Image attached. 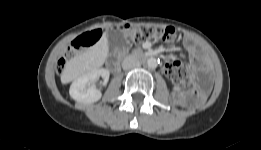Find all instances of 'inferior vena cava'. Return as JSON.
<instances>
[{
	"instance_id": "1",
	"label": "inferior vena cava",
	"mask_w": 261,
	"mask_h": 150,
	"mask_svg": "<svg viewBox=\"0 0 261 150\" xmlns=\"http://www.w3.org/2000/svg\"><path fill=\"white\" fill-rule=\"evenodd\" d=\"M139 66L140 62L134 55L127 56L122 62V67L124 70H130Z\"/></svg>"
}]
</instances>
